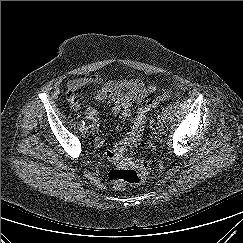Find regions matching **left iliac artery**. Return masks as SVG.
<instances>
[{
    "label": "left iliac artery",
    "instance_id": "44dca946",
    "mask_svg": "<svg viewBox=\"0 0 243 243\" xmlns=\"http://www.w3.org/2000/svg\"><path fill=\"white\" fill-rule=\"evenodd\" d=\"M157 119H158V121H159V122L161 121V118H160V116H158V118H157Z\"/></svg>",
    "mask_w": 243,
    "mask_h": 243
}]
</instances>
